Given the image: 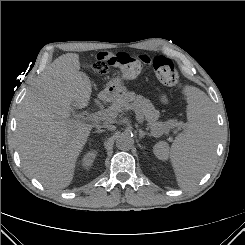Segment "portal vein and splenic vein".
Listing matches in <instances>:
<instances>
[{
    "label": "portal vein and splenic vein",
    "mask_w": 245,
    "mask_h": 245,
    "mask_svg": "<svg viewBox=\"0 0 245 245\" xmlns=\"http://www.w3.org/2000/svg\"><path fill=\"white\" fill-rule=\"evenodd\" d=\"M135 114H136V120L138 121L139 124H143L144 121V117L141 115V113L138 110H134ZM109 116L108 112L106 110L104 111H98L95 114H89L86 117L82 116L80 117L82 120H103V119H107Z\"/></svg>",
    "instance_id": "portal-vein-and-splenic-vein-1"
}]
</instances>
